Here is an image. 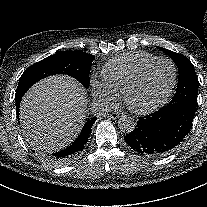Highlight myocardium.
I'll return each mask as SVG.
<instances>
[{"instance_id": "1", "label": "myocardium", "mask_w": 207, "mask_h": 207, "mask_svg": "<svg viewBox=\"0 0 207 207\" xmlns=\"http://www.w3.org/2000/svg\"><path fill=\"white\" fill-rule=\"evenodd\" d=\"M159 62H167L173 68L172 82H171L170 88L166 94L165 100L172 96V94L175 90L176 84H177V79H178V72H177L176 64L170 58H166V57L156 58V59L148 62L147 64H145L140 69V71L137 73V75L127 84V86L123 92V95H122L123 102H124L125 106L128 108V110L131 111L132 113L139 115V114L143 113V110L137 109L130 104L129 97H130L131 93L142 83L147 71Z\"/></svg>"}]
</instances>
